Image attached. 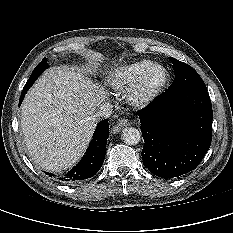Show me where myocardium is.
Instances as JSON below:
<instances>
[{
    "mask_svg": "<svg viewBox=\"0 0 233 233\" xmlns=\"http://www.w3.org/2000/svg\"><path fill=\"white\" fill-rule=\"evenodd\" d=\"M159 72L160 79L152 83L153 75ZM170 79L169 72L162 65L155 64L129 89L128 100L136 107H144L154 101L166 87Z\"/></svg>",
    "mask_w": 233,
    "mask_h": 233,
    "instance_id": "obj_1",
    "label": "myocardium"
}]
</instances>
